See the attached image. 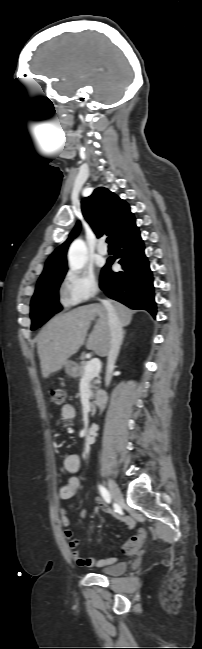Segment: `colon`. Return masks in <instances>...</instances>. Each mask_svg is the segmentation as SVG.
Segmentation results:
<instances>
[{
    "mask_svg": "<svg viewBox=\"0 0 202 649\" xmlns=\"http://www.w3.org/2000/svg\"><path fill=\"white\" fill-rule=\"evenodd\" d=\"M51 401L56 405H62L65 399V391L60 388L52 389L49 392ZM146 538L144 530H140L135 535L131 536L125 544V551L127 553L135 552Z\"/></svg>",
    "mask_w": 202,
    "mask_h": 649,
    "instance_id": "5ec220e1",
    "label": "colon"
}]
</instances>
